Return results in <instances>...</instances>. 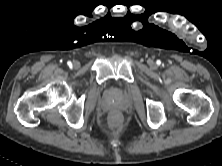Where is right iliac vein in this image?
<instances>
[{
	"label": "right iliac vein",
	"mask_w": 222,
	"mask_h": 166,
	"mask_svg": "<svg viewBox=\"0 0 222 166\" xmlns=\"http://www.w3.org/2000/svg\"><path fill=\"white\" fill-rule=\"evenodd\" d=\"M74 68H79L80 67V63L78 61H75L73 63Z\"/></svg>",
	"instance_id": "obj_1"
}]
</instances>
